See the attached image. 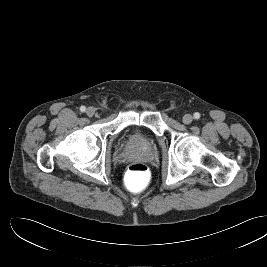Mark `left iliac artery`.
Masks as SVG:
<instances>
[{
	"label": "left iliac artery",
	"mask_w": 267,
	"mask_h": 267,
	"mask_svg": "<svg viewBox=\"0 0 267 267\" xmlns=\"http://www.w3.org/2000/svg\"><path fill=\"white\" fill-rule=\"evenodd\" d=\"M194 118L198 120L200 118V113L198 112L194 113Z\"/></svg>",
	"instance_id": "44dca946"
}]
</instances>
